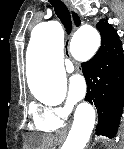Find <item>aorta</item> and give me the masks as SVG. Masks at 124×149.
I'll return each instance as SVG.
<instances>
[{
  "label": "aorta",
  "mask_w": 124,
  "mask_h": 149,
  "mask_svg": "<svg viewBox=\"0 0 124 149\" xmlns=\"http://www.w3.org/2000/svg\"><path fill=\"white\" fill-rule=\"evenodd\" d=\"M62 44L63 31L59 22L49 21L34 28L29 49V88L40 101H60L66 94L67 80L62 61ZM99 45V32L93 26L85 24L74 33L70 48L76 53L93 54ZM94 124V108L89 103L80 104L63 149H84Z\"/></svg>",
  "instance_id": "762f6f07"
}]
</instances>
